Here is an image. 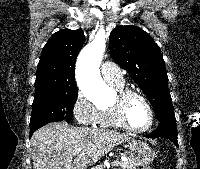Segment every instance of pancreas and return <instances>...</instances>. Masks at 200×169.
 Listing matches in <instances>:
<instances>
[{"mask_svg": "<svg viewBox=\"0 0 200 169\" xmlns=\"http://www.w3.org/2000/svg\"><path fill=\"white\" fill-rule=\"evenodd\" d=\"M118 161V160H117ZM120 168L119 169H136L137 165L132 160H126V161H118ZM94 169H104L103 165H98Z\"/></svg>", "mask_w": 200, "mask_h": 169, "instance_id": "cf45deb5", "label": "pancreas"}]
</instances>
